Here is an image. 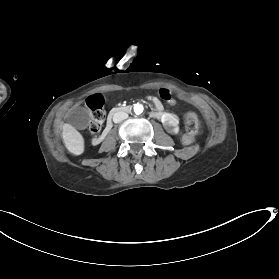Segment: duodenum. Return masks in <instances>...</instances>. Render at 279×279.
Segmentation results:
<instances>
[{
  "instance_id": "410a0bca",
  "label": "duodenum",
  "mask_w": 279,
  "mask_h": 279,
  "mask_svg": "<svg viewBox=\"0 0 279 279\" xmlns=\"http://www.w3.org/2000/svg\"><path fill=\"white\" fill-rule=\"evenodd\" d=\"M130 107L128 105L119 106V107H112L110 110L106 112V128L100 133V136L95 135L93 137L92 145L94 147H98L100 144L104 142L106 136L110 133V130L113 128V115L118 113L128 112Z\"/></svg>"
}]
</instances>
